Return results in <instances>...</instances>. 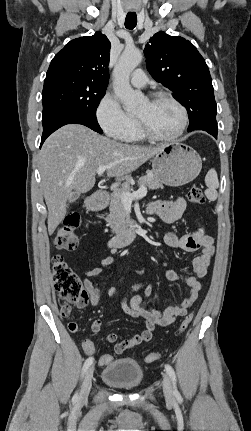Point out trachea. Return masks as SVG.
<instances>
[{"label": "trachea", "instance_id": "3493384b", "mask_svg": "<svg viewBox=\"0 0 251 431\" xmlns=\"http://www.w3.org/2000/svg\"><path fill=\"white\" fill-rule=\"evenodd\" d=\"M137 24V15L136 13H128L125 19V27L127 29H133Z\"/></svg>", "mask_w": 251, "mask_h": 431}]
</instances>
